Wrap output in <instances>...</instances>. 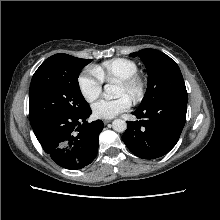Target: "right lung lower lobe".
Segmentation results:
<instances>
[{"label":"right lung lower lobe","mask_w":220,"mask_h":220,"mask_svg":"<svg viewBox=\"0 0 220 220\" xmlns=\"http://www.w3.org/2000/svg\"><path fill=\"white\" fill-rule=\"evenodd\" d=\"M91 112L89 107L79 114L54 116L32 127L44 151L59 166L80 169L96 157L104 124L101 120L88 123Z\"/></svg>","instance_id":"98d812e1"}]
</instances>
